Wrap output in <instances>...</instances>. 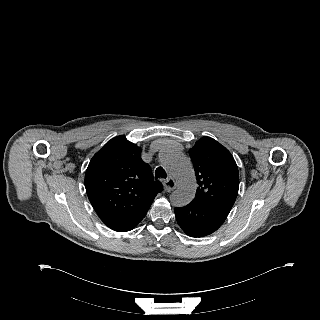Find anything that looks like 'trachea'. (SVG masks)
I'll list each match as a JSON object with an SVG mask.
<instances>
[{
    "instance_id": "obj_1",
    "label": "trachea",
    "mask_w": 320,
    "mask_h": 320,
    "mask_svg": "<svg viewBox=\"0 0 320 320\" xmlns=\"http://www.w3.org/2000/svg\"><path fill=\"white\" fill-rule=\"evenodd\" d=\"M167 177V174L166 172L163 170V168L161 167H158L156 170H155V178L158 179V178H166Z\"/></svg>"
}]
</instances>
